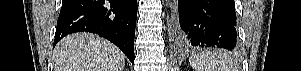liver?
Returning <instances> with one entry per match:
<instances>
[{"instance_id":"1","label":"liver","mask_w":301,"mask_h":71,"mask_svg":"<svg viewBox=\"0 0 301 71\" xmlns=\"http://www.w3.org/2000/svg\"><path fill=\"white\" fill-rule=\"evenodd\" d=\"M53 53L54 71H123L125 65L118 47L90 33L64 37Z\"/></svg>"}]
</instances>
